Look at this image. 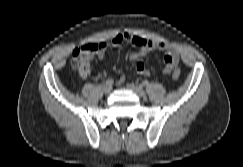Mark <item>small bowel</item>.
Wrapping results in <instances>:
<instances>
[{
    "instance_id": "c3829d8e",
    "label": "small bowel",
    "mask_w": 243,
    "mask_h": 167,
    "mask_svg": "<svg viewBox=\"0 0 243 167\" xmlns=\"http://www.w3.org/2000/svg\"><path fill=\"white\" fill-rule=\"evenodd\" d=\"M129 43L137 50L129 55V59L136 62L135 70L138 74L149 75V71L145 67L142 59L152 50L159 49L166 51V55L163 58V70L164 74H169L177 66L179 61V55L176 50L166 42L155 41L143 36L134 35L128 32L119 33L115 35L110 41H103L100 43L99 50L97 52L98 58L104 60L109 53L111 47L118 46L122 43ZM87 76V75H85ZM125 81V76L120 77L119 83L122 84Z\"/></svg>"
}]
</instances>
